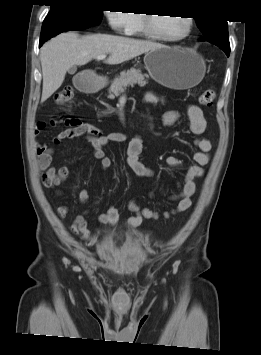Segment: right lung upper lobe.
I'll return each mask as SVG.
<instances>
[{
	"label": "right lung upper lobe",
	"mask_w": 261,
	"mask_h": 355,
	"mask_svg": "<svg viewBox=\"0 0 261 355\" xmlns=\"http://www.w3.org/2000/svg\"><path fill=\"white\" fill-rule=\"evenodd\" d=\"M49 1H51V3L53 4V3L60 2V1H63V0H49Z\"/></svg>",
	"instance_id": "obj_1"
}]
</instances>
